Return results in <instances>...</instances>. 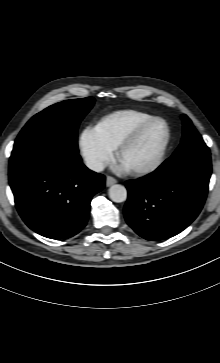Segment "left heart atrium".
Wrapping results in <instances>:
<instances>
[{"instance_id":"left-heart-atrium-1","label":"left heart atrium","mask_w":220,"mask_h":363,"mask_svg":"<svg viewBox=\"0 0 220 363\" xmlns=\"http://www.w3.org/2000/svg\"><path fill=\"white\" fill-rule=\"evenodd\" d=\"M115 170L118 172H127L130 169L122 162H119L115 165Z\"/></svg>"}]
</instances>
